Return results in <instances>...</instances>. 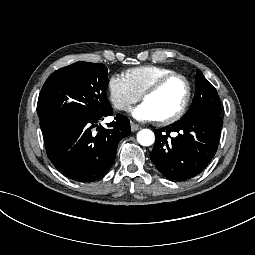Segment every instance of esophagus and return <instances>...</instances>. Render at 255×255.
<instances>
[{
    "label": "esophagus",
    "mask_w": 255,
    "mask_h": 255,
    "mask_svg": "<svg viewBox=\"0 0 255 255\" xmlns=\"http://www.w3.org/2000/svg\"><path fill=\"white\" fill-rule=\"evenodd\" d=\"M139 125L134 123V122H131V131H137L139 129Z\"/></svg>",
    "instance_id": "1"
}]
</instances>
